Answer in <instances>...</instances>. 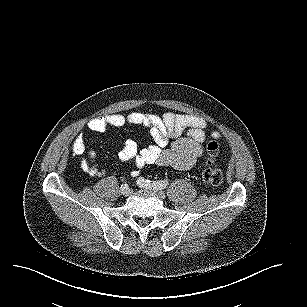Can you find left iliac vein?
<instances>
[{
    "mask_svg": "<svg viewBox=\"0 0 307 307\" xmlns=\"http://www.w3.org/2000/svg\"><path fill=\"white\" fill-rule=\"evenodd\" d=\"M149 189H150L151 191H154L155 193H157L161 198H164V197H165V193L159 191L158 189L153 188V187H149Z\"/></svg>",
    "mask_w": 307,
    "mask_h": 307,
    "instance_id": "1",
    "label": "left iliac vein"
}]
</instances>
